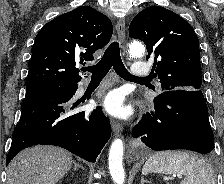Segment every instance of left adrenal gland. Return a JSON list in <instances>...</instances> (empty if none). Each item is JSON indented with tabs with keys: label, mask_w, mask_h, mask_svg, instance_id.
<instances>
[{
	"label": "left adrenal gland",
	"mask_w": 224,
	"mask_h": 184,
	"mask_svg": "<svg viewBox=\"0 0 224 184\" xmlns=\"http://www.w3.org/2000/svg\"><path fill=\"white\" fill-rule=\"evenodd\" d=\"M144 182H146V181L144 180V177H141V184H144Z\"/></svg>",
	"instance_id": "a2214340"
}]
</instances>
